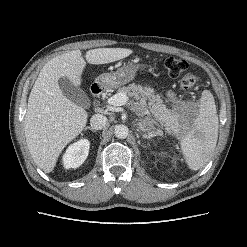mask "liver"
<instances>
[{
    "label": "liver",
    "mask_w": 247,
    "mask_h": 247,
    "mask_svg": "<svg viewBox=\"0 0 247 247\" xmlns=\"http://www.w3.org/2000/svg\"><path fill=\"white\" fill-rule=\"evenodd\" d=\"M133 53L125 48H97L86 52L89 64L100 65L121 60ZM86 62L80 50L63 53L41 69L28 98L24 131L28 149L45 173H50L65 146L75 139L87 123L88 113L66 98L58 80L67 77L75 86L82 83Z\"/></svg>",
    "instance_id": "obj_1"
}]
</instances>
